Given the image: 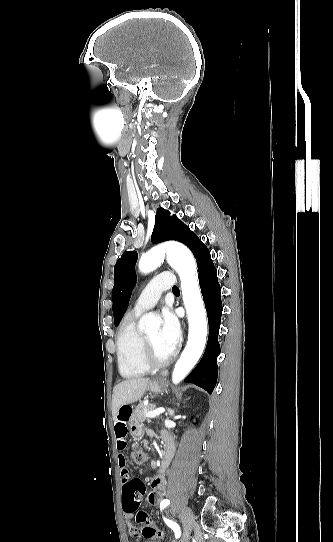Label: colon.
I'll return each instance as SVG.
<instances>
[{"label": "colon", "mask_w": 333, "mask_h": 542, "mask_svg": "<svg viewBox=\"0 0 333 542\" xmlns=\"http://www.w3.org/2000/svg\"><path fill=\"white\" fill-rule=\"evenodd\" d=\"M148 453L145 450H138L132 454V459L136 464H141L147 458ZM122 493L127 501L123 504V513L125 515L137 516L136 523L145 526L142 530L143 534L149 539H160L161 533L158 528L149 526L152 522L149 512L146 509H139L140 500L144 494L143 482L140 479H135L129 483L127 487H122Z\"/></svg>", "instance_id": "5ec220e1"}]
</instances>
